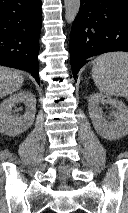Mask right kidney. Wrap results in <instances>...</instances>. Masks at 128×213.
<instances>
[{
  "mask_svg": "<svg viewBox=\"0 0 128 213\" xmlns=\"http://www.w3.org/2000/svg\"><path fill=\"white\" fill-rule=\"evenodd\" d=\"M19 103H24L26 112L24 115H14L12 109ZM36 114V98L28 90L20 91L0 104V132L8 136H17L34 122Z\"/></svg>",
  "mask_w": 128,
  "mask_h": 213,
  "instance_id": "1",
  "label": "right kidney"
}]
</instances>
